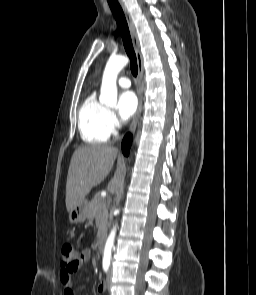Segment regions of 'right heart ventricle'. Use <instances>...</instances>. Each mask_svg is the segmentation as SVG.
<instances>
[{
	"instance_id": "e07e8e85",
	"label": "right heart ventricle",
	"mask_w": 256,
	"mask_h": 295,
	"mask_svg": "<svg viewBox=\"0 0 256 295\" xmlns=\"http://www.w3.org/2000/svg\"><path fill=\"white\" fill-rule=\"evenodd\" d=\"M108 111L94 92L83 101L79 110L78 127L85 142L97 144L109 139L111 131L107 121Z\"/></svg>"
}]
</instances>
